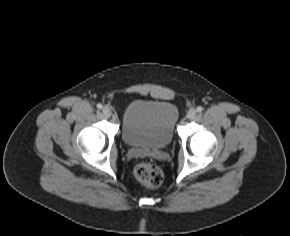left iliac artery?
Listing matches in <instances>:
<instances>
[{
	"label": "left iliac artery",
	"mask_w": 290,
	"mask_h": 236,
	"mask_svg": "<svg viewBox=\"0 0 290 236\" xmlns=\"http://www.w3.org/2000/svg\"><path fill=\"white\" fill-rule=\"evenodd\" d=\"M203 110H204V108L202 106L197 107L198 112H202Z\"/></svg>",
	"instance_id": "1"
}]
</instances>
